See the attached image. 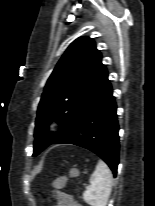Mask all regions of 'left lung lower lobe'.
<instances>
[{
    "label": "left lung lower lobe",
    "mask_w": 155,
    "mask_h": 206,
    "mask_svg": "<svg viewBox=\"0 0 155 206\" xmlns=\"http://www.w3.org/2000/svg\"><path fill=\"white\" fill-rule=\"evenodd\" d=\"M119 126L116 103L109 87L83 112L73 128L56 144H74L100 156L117 174L119 160Z\"/></svg>",
    "instance_id": "left-lung-lower-lobe-1"
}]
</instances>
